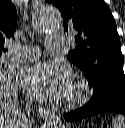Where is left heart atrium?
Segmentation results:
<instances>
[{
    "label": "left heart atrium",
    "mask_w": 125,
    "mask_h": 128,
    "mask_svg": "<svg viewBox=\"0 0 125 128\" xmlns=\"http://www.w3.org/2000/svg\"><path fill=\"white\" fill-rule=\"evenodd\" d=\"M23 91L40 101H55L71 90L68 68L59 63L40 62L24 68L19 76Z\"/></svg>",
    "instance_id": "1"
}]
</instances>
